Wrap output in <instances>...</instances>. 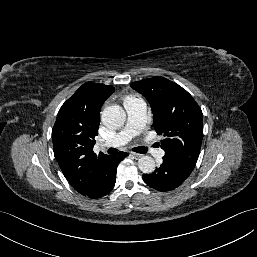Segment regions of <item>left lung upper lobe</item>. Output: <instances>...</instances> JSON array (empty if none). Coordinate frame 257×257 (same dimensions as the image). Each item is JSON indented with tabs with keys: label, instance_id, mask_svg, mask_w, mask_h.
Instances as JSON below:
<instances>
[{
	"label": "left lung upper lobe",
	"instance_id": "obj_1",
	"mask_svg": "<svg viewBox=\"0 0 257 257\" xmlns=\"http://www.w3.org/2000/svg\"><path fill=\"white\" fill-rule=\"evenodd\" d=\"M150 103L154 128L165 139V158L194 169L203 137L202 110L193 97L178 84L155 76L130 85Z\"/></svg>",
	"mask_w": 257,
	"mask_h": 257
}]
</instances>
